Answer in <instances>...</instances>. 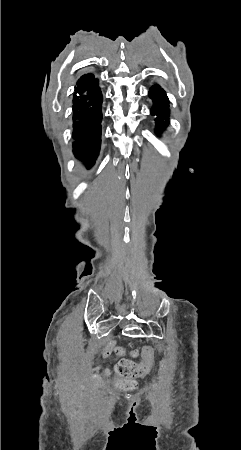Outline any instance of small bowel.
Listing matches in <instances>:
<instances>
[{
	"label": "small bowel",
	"instance_id": "obj_1",
	"mask_svg": "<svg viewBox=\"0 0 241 450\" xmlns=\"http://www.w3.org/2000/svg\"><path fill=\"white\" fill-rule=\"evenodd\" d=\"M108 354V352H104V355H107Z\"/></svg>",
	"mask_w": 241,
	"mask_h": 450
}]
</instances>
